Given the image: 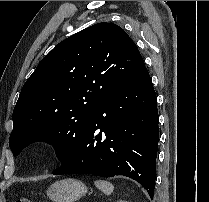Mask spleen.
Listing matches in <instances>:
<instances>
[{
  "label": "spleen",
  "instance_id": "spleen-1",
  "mask_svg": "<svg viewBox=\"0 0 209 202\" xmlns=\"http://www.w3.org/2000/svg\"><path fill=\"white\" fill-rule=\"evenodd\" d=\"M94 184L99 190H101L106 195H110L114 190V186L108 181L96 180Z\"/></svg>",
  "mask_w": 209,
  "mask_h": 202
}]
</instances>
